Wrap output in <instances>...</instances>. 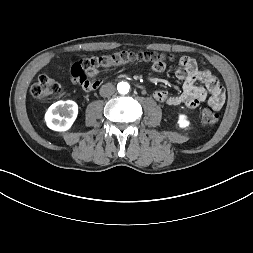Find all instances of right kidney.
<instances>
[{
  "label": "right kidney",
  "mask_w": 253,
  "mask_h": 253,
  "mask_svg": "<svg viewBox=\"0 0 253 253\" xmlns=\"http://www.w3.org/2000/svg\"><path fill=\"white\" fill-rule=\"evenodd\" d=\"M78 114V105L72 100L58 101L52 104L46 114L47 126L54 131H66L74 123Z\"/></svg>",
  "instance_id": "1"
}]
</instances>
